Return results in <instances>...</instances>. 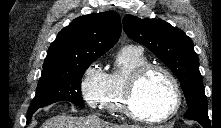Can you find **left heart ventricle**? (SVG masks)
<instances>
[{
    "mask_svg": "<svg viewBox=\"0 0 221 128\" xmlns=\"http://www.w3.org/2000/svg\"><path fill=\"white\" fill-rule=\"evenodd\" d=\"M173 101L168 78L159 71L148 75L140 84L134 104L136 109L149 116L164 113Z\"/></svg>",
    "mask_w": 221,
    "mask_h": 128,
    "instance_id": "1",
    "label": "left heart ventricle"
}]
</instances>
